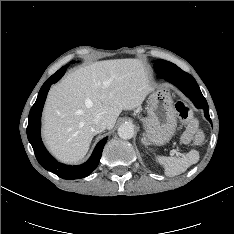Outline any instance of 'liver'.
Listing matches in <instances>:
<instances>
[{
    "mask_svg": "<svg viewBox=\"0 0 234 234\" xmlns=\"http://www.w3.org/2000/svg\"><path fill=\"white\" fill-rule=\"evenodd\" d=\"M151 90L136 59L80 67L48 93L43 112L45 144L64 163L82 160L95 136L93 119H104L106 128L112 129L122 110L139 107Z\"/></svg>",
    "mask_w": 234,
    "mask_h": 234,
    "instance_id": "6515ba94",
    "label": "liver"
}]
</instances>
